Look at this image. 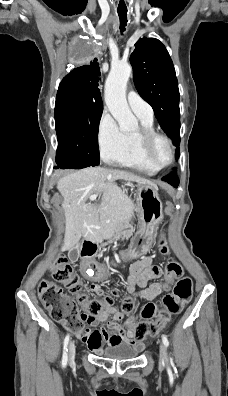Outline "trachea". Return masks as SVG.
<instances>
[{
    "label": "trachea",
    "instance_id": "1",
    "mask_svg": "<svg viewBox=\"0 0 228 396\" xmlns=\"http://www.w3.org/2000/svg\"><path fill=\"white\" fill-rule=\"evenodd\" d=\"M119 19H120V31L124 32L126 30L127 24V10L126 11H118Z\"/></svg>",
    "mask_w": 228,
    "mask_h": 396
}]
</instances>
